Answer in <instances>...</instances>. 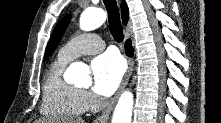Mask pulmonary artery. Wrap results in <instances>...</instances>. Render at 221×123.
<instances>
[{
	"label": "pulmonary artery",
	"instance_id": "obj_1",
	"mask_svg": "<svg viewBox=\"0 0 221 123\" xmlns=\"http://www.w3.org/2000/svg\"><path fill=\"white\" fill-rule=\"evenodd\" d=\"M105 47L104 41L96 34L88 33L79 35L67 42L58 53V57L71 61L84 54H95Z\"/></svg>",
	"mask_w": 221,
	"mask_h": 123
}]
</instances>
